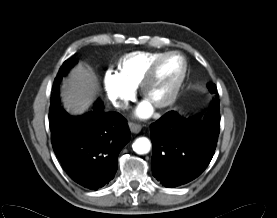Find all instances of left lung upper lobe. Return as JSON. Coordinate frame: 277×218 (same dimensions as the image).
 <instances>
[{"label": "left lung upper lobe", "instance_id": "left-lung-upper-lobe-1", "mask_svg": "<svg viewBox=\"0 0 277 218\" xmlns=\"http://www.w3.org/2000/svg\"><path fill=\"white\" fill-rule=\"evenodd\" d=\"M208 88L212 93H217V88L215 86V84H208Z\"/></svg>", "mask_w": 277, "mask_h": 218}]
</instances>
